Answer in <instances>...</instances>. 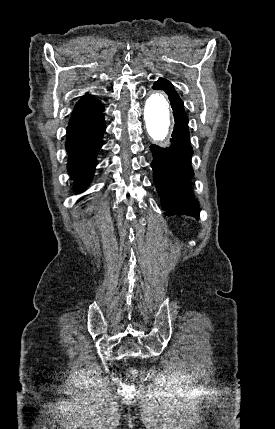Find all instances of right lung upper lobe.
Returning <instances> with one entry per match:
<instances>
[{"label": "right lung upper lobe", "instance_id": "cb5924a9", "mask_svg": "<svg viewBox=\"0 0 275 429\" xmlns=\"http://www.w3.org/2000/svg\"><path fill=\"white\" fill-rule=\"evenodd\" d=\"M103 108L104 106L101 104V102L95 99L93 96L89 94L84 95L75 105L69 123L89 118L98 113Z\"/></svg>", "mask_w": 275, "mask_h": 429}]
</instances>
